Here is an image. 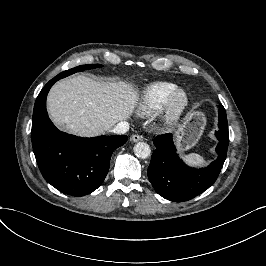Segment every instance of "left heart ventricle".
Returning <instances> with one entry per match:
<instances>
[{"mask_svg": "<svg viewBox=\"0 0 266 266\" xmlns=\"http://www.w3.org/2000/svg\"><path fill=\"white\" fill-rule=\"evenodd\" d=\"M183 105V97L179 96L175 102V107L176 108H181V106Z\"/></svg>", "mask_w": 266, "mask_h": 266, "instance_id": "b2bd125f", "label": "left heart ventricle"}]
</instances>
